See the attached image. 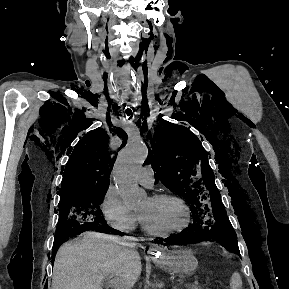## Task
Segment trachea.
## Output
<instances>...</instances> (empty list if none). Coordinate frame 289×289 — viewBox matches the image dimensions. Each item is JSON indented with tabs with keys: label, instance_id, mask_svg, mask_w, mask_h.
Wrapping results in <instances>:
<instances>
[{
	"label": "trachea",
	"instance_id": "1",
	"mask_svg": "<svg viewBox=\"0 0 289 289\" xmlns=\"http://www.w3.org/2000/svg\"><path fill=\"white\" fill-rule=\"evenodd\" d=\"M126 113L128 116L131 115V110L130 109L126 110Z\"/></svg>",
	"mask_w": 289,
	"mask_h": 289
}]
</instances>
